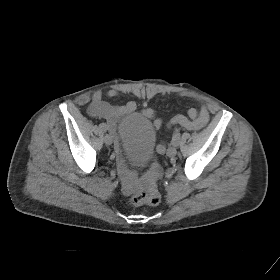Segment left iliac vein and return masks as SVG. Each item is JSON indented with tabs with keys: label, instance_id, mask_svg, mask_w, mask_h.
Here are the masks:
<instances>
[{
	"label": "left iliac vein",
	"instance_id": "left-iliac-vein-1",
	"mask_svg": "<svg viewBox=\"0 0 280 280\" xmlns=\"http://www.w3.org/2000/svg\"><path fill=\"white\" fill-rule=\"evenodd\" d=\"M177 153V150L175 147H169L168 150H167V156L169 157H174Z\"/></svg>",
	"mask_w": 280,
	"mask_h": 280
}]
</instances>
